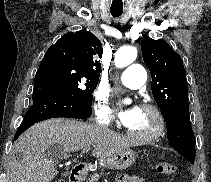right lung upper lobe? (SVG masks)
Here are the masks:
<instances>
[{"instance_id": "right-lung-upper-lobe-1", "label": "right lung upper lobe", "mask_w": 211, "mask_h": 182, "mask_svg": "<svg viewBox=\"0 0 211 182\" xmlns=\"http://www.w3.org/2000/svg\"><path fill=\"white\" fill-rule=\"evenodd\" d=\"M102 52V43L92 33L85 30L69 32L47 50L40 66L56 63L99 79L101 64L95 57H101Z\"/></svg>"}]
</instances>
